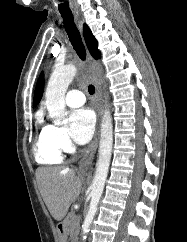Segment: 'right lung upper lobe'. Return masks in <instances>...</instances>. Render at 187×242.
<instances>
[{
	"mask_svg": "<svg viewBox=\"0 0 187 242\" xmlns=\"http://www.w3.org/2000/svg\"><path fill=\"white\" fill-rule=\"evenodd\" d=\"M83 35H84L86 45L89 49V52L95 59H98L100 57V53L97 48V41L94 38V36L92 35L91 30L89 29V27L86 24H84V26H83ZM43 87H44V76H43V73H41L40 77L38 79L37 85H36L35 94H34V98H33L34 106H37V104L39 103V101L42 98Z\"/></svg>",
	"mask_w": 187,
	"mask_h": 242,
	"instance_id": "1",
	"label": "right lung upper lobe"
}]
</instances>
